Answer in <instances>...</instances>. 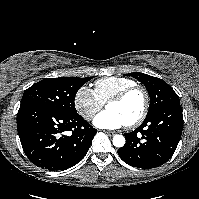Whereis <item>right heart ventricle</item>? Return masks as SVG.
<instances>
[{
  "mask_svg": "<svg viewBox=\"0 0 199 199\" xmlns=\"http://www.w3.org/2000/svg\"><path fill=\"white\" fill-rule=\"evenodd\" d=\"M135 84V81L129 78L110 76L97 80L93 91L99 100L105 104L120 91Z\"/></svg>",
  "mask_w": 199,
  "mask_h": 199,
  "instance_id": "obj_1",
  "label": "right heart ventricle"
}]
</instances>
